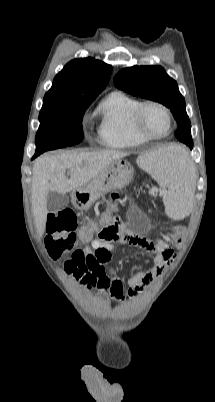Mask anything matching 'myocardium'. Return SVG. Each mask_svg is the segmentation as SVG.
Instances as JSON below:
<instances>
[{
	"instance_id": "f54148a6",
	"label": "myocardium",
	"mask_w": 215,
	"mask_h": 402,
	"mask_svg": "<svg viewBox=\"0 0 215 402\" xmlns=\"http://www.w3.org/2000/svg\"><path fill=\"white\" fill-rule=\"evenodd\" d=\"M148 107H156L161 109L167 116L168 119V129L164 134H160V135H156L153 134L151 132H149L143 122V115H144V111L148 108ZM133 124H134V128L136 130V132L149 140H159V139H163L165 137H167L173 128V117H172V113L170 111V109L164 105L161 102L158 101H154V100H148V101H144L141 102L139 104V106L136 108L135 112H134V116H133Z\"/></svg>"
}]
</instances>
